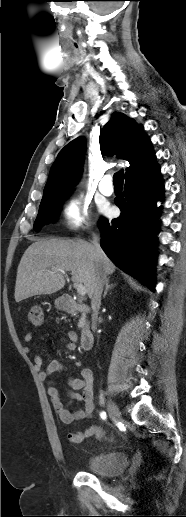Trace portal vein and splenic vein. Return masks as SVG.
I'll return each mask as SVG.
<instances>
[{"instance_id":"portal-vein-and-splenic-vein-1","label":"portal vein and splenic vein","mask_w":186,"mask_h":517,"mask_svg":"<svg viewBox=\"0 0 186 517\" xmlns=\"http://www.w3.org/2000/svg\"><path fill=\"white\" fill-rule=\"evenodd\" d=\"M53 270H56V271H61L62 273H65L63 270H60L56 267H53L52 268ZM76 289H77V292L79 293V295L81 296H84L86 294V289H85V286L83 284H77L75 285Z\"/></svg>"}]
</instances>
